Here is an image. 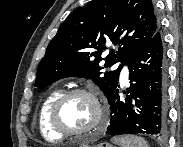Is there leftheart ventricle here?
<instances>
[{"label":"left heart ventricle","instance_id":"1","mask_svg":"<svg viewBox=\"0 0 183 147\" xmlns=\"http://www.w3.org/2000/svg\"><path fill=\"white\" fill-rule=\"evenodd\" d=\"M60 119L67 128L72 130L88 127L95 119L92 101L83 95L69 98L61 108Z\"/></svg>","mask_w":183,"mask_h":147}]
</instances>
